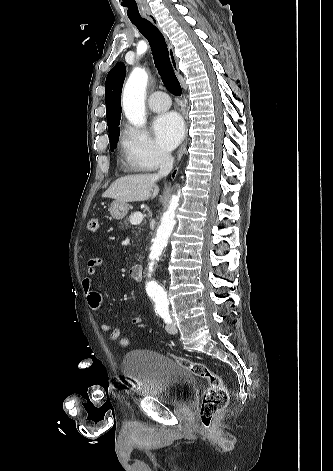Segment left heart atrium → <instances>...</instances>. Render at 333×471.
Segmentation results:
<instances>
[{
	"instance_id": "left-heart-atrium-1",
	"label": "left heart atrium",
	"mask_w": 333,
	"mask_h": 471,
	"mask_svg": "<svg viewBox=\"0 0 333 471\" xmlns=\"http://www.w3.org/2000/svg\"><path fill=\"white\" fill-rule=\"evenodd\" d=\"M154 133L159 144L170 150L182 139L184 124L181 117L174 112L163 114L154 122Z\"/></svg>"
}]
</instances>
